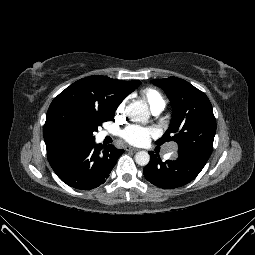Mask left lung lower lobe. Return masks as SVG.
Wrapping results in <instances>:
<instances>
[{"label":"left lung lower lobe","instance_id":"1","mask_svg":"<svg viewBox=\"0 0 255 255\" xmlns=\"http://www.w3.org/2000/svg\"><path fill=\"white\" fill-rule=\"evenodd\" d=\"M150 162L144 167L145 178L163 189L181 187L192 181L203 169L207 161L179 155L174 161L162 162L153 152H149Z\"/></svg>","mask_w":255,"mask_h":255}]
</instances>
